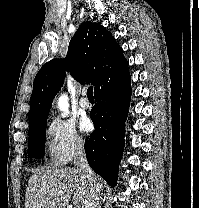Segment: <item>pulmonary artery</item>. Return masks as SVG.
I'll return each instance as SVG.
<instances>
[{
  "mask_svg": "<svg viewBox=\"0 0 199 208\" xmlns=\"http://www.w3.org/2000/svg\"><path fill=\"white\" fill-rule=\"evenodd\" d=\"M79 106L82 109H89L91 107L90 101L86 95V92L83 93L82 97L79 100Z\"/></svg>",
  "mask_w": 199,
  "mask_h": 208,
  "instance_id": "1",
  "label": "pulmonary artery"
}]
</instances>
